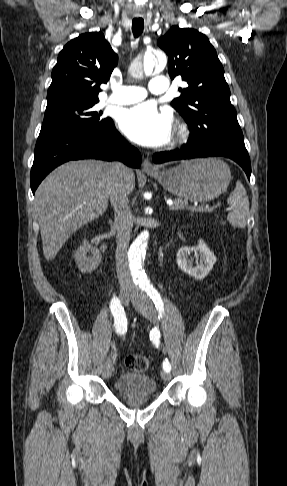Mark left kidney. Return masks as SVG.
Returning <instances> with one entry per match:
<instances>
[{"label": "left kidney", "instance_id": "5707ae66", "mask_svg": "<svg viewBox=\"0 0 287 486\" xmlns=\"http://www.w3.org/2000/svg\"><path fill=\"white\" fill-rule=\"evenodd\" d=\"M194 253L197 260L194 266L188 256ZM199 260V262H198ZM177 265L178 267L197 280L204 279L208 273L212 270L213 265L216 263V257L212 251L208 248L205 242L200 239L196 247H182L177 253Z\"/></svg>", "mask_w": 287, "mask_h": 486}]
</instances>
